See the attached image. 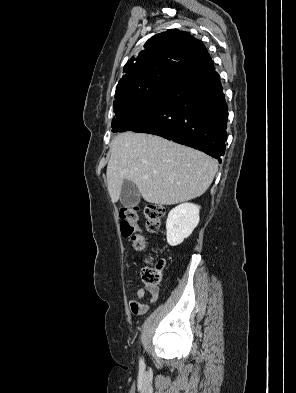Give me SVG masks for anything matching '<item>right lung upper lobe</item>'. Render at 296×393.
Wrapping results in <instances>:
<instances>
[{
    "instance_id": "right-lung-upper-lobe-1",
    "label": "right lung upper lobe",
    "mask_w": 296,
    "mask_h": 393,
    "mask_svg": "<svg viewBox=\"0 0 296 393\" xmlns=\"http://www.w3.org/2000/svg\"><path fill=\"white\" fill-rule=\"evenodd\" d=\"M207 49L187 32L169 29L151 37L144 49L124 66V75L115 92L114 103L137 96L156 77H173L207 55Z\"/></svg>"
}]
</instances>
